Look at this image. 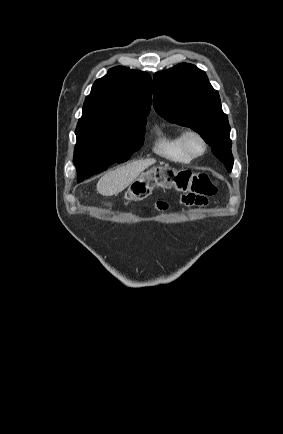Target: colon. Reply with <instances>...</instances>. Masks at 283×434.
<instances>
[{
  "label": "colon",
  "mask_w": 283,
  "mask_h": 434,
  "mask_svg": "<svg viewBox=\"0 0 283 434\" xmlns=\"http://www.w3.org/2000/svg\"><path fill=\"white\" fill-rule=\"evenodd\" d=\"M156 187L175 188L182 192L210 197L217 193L218 183L206 173L157 167L134 181L126 198L129 201H141L148 197Z\"/></svg>",
  "instance_id": "obj_1"
}]
</instances>
